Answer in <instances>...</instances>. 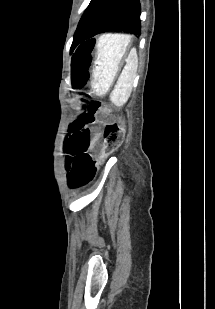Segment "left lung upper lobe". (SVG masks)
Instances as JSON below:
<instances>
[{
	"instance_id": "1",
	"label": "left lung upper lobe",
	"mask_w": 215,
	"mask_h": 309,
	"mask_svg": "<svg viewBox=\"0 0 215 309\" xmlns=\"http://www.w3.org/2000/svg\"><path fill=\"white\" fill-rule=\"evenodd\" d=\"M139 0H91L75 32L72 46L112 30L141 34Z\"/></svg>"
}]
</instances>
